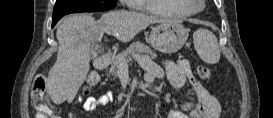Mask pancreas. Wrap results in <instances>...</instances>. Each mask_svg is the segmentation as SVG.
<instances>
[{
  "mask_svg": "<svg viewBox=\"0 0 273 118\" xmlns=\"http://www.w3.org/2000/svg\"><path fill=\"white\" fill-rule=\"evenodd\" d=\"M134 55H140L142 57L155 59L156 53L153 52L150 47L141 43L134 42L129 48L119 53L117 56L113 57L111 66L109 69V75L117 76L119 72V68L122 64H128L134 58Z\"/></svg>",
  "mask_w": 273,
  "mask_h": 118,
  "instance_id": "1",
  "label": "pancreas"
}]
</instances>
